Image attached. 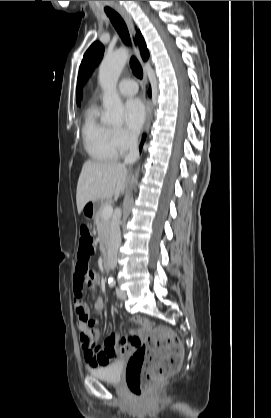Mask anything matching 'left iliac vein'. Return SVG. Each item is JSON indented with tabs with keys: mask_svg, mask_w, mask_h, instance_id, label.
Instances as JSON below:
<instances>
[{
	"mask_svg": "<svg viewBox=\"0 0 271 418\" xmlns=\"http://www.w3.org/2000/svg\"><path fill=\"white\" fill-rule=\"evenodd\" d=\"M116 294H117L118 298L122 299V300L126 299V297H127L126 292L121 288L116 289Z\"/></svg>",
	"mask_w": 271,
	"mask_h": 418,
	"instance_id": "4c4485c4",
	"label": "left iliac vein"
}]
</instances>
